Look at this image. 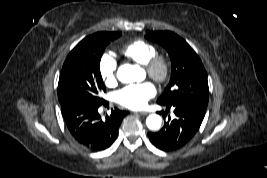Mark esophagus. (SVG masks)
<instances>
[{
    "label": "esophagus",
    "mask_w": 267,
    "mask_h": 178,
    "mask_svg": "<svg viewBox=\"0 0 267 178\" xmlns=\"http://www.w3.org/2000/svg\"><path fill=\"white\" fill-rule=\"evenodd\" d=\"M136 114L145 116V115H148V112H146V111H141V112H136Z\"/></svg>",
    "instance_id": "obj_1"
}]
</instances>
